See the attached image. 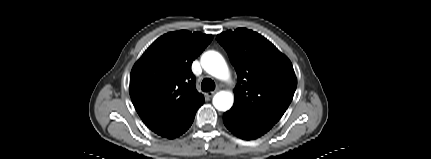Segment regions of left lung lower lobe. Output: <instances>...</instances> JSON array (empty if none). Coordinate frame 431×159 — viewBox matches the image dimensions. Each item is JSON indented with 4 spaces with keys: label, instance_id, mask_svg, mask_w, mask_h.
<instances>
[{
    "label": "left lung lower lobe",
    "instance_id": "1",
    "mask_svg": "<svg viewBox=\"0 0 431 159\" xmlns=\"http://www.w3.org/2000/svg\"><path fill=\"white\" fill-rule=\"evenodd\" d=\"M223 121L229 131L244 140L256 139L272 128V125L243 118L229 110L223 115Z\"/></svg>",
    "mask_w": 431,
    "mask_h": 159
}]
</instances>
